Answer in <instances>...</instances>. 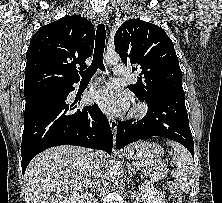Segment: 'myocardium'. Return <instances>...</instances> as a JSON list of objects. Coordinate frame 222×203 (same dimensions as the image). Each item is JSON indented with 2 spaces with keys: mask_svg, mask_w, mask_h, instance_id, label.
<instances>
[{
  "mask_svg": "<svg viewBox=\"0 0 222 203\" xmlns=\"http://www.w3.org/2000/svg\"><path fill=\"white\" fill-rule=\"evenodd\" d=\"M145 113H146L145 105H143L141 103H137L131 109L130 115L132 117H140V116H143Z\"/></svg>",
  "mask_w": 222,
  "mask_h": 203,
  "instance_id": "obj_1",
  "label": "myocardium"
}]
</instances>
